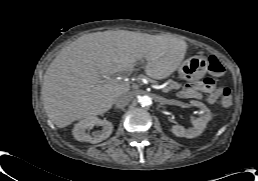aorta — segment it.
I'll use <instances>...</instances> for the list:
<instances>
[{
    "mask_svg": "<svg viewBox=\"0 0 258 181\" xmlns=\"http://www.w3.org/2000/svg\"><path fill=\"white\" fill-rule=\"evenodd\" d=\"M139 103L142 105V106H149L151 103H152V100L149 96L145 95V96H141L139 98Z\"/></svg>",
    "mask_w": 258,
    "mask_h": 181,
    "instance_id": "762f6f07",
    "label": "aorta"
}]
</instances>
